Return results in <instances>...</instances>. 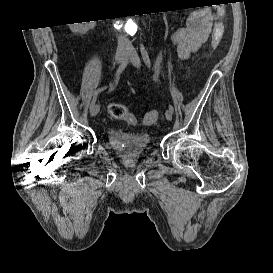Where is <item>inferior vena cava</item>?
<instances>
[{"label":"inferior vena cava","instance_id":"inferior-vena-cava-1","mask_svg":"<svg viewBox=\"0 0 273 273\" xmlns=\"http://www.w3.org/2000/svg\"><path fill=\"white\" fill-rule=\"evenodd\" d=\"M118 46L119 47H130L131 46V43L129 41V39L126 37V35H119L118 36Z\"/></svg>","mask_w":273,"mask_h":273}]
</instances>
